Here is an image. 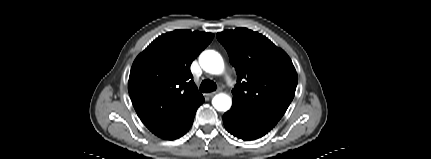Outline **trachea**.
Returning a JSON list of instances; mask_svg holds the SVG:
<instances>
[{
    "label": "trachea",
    "mask_w": 431,
    "mask_h": 159,
    "mask_svg": "<svg viewBox=\"0 0 431 159\" xmlns=\"http://www.w3.org/2000/svg\"><path fill=\"white\" fill-rule=\"evenodd\" d=\"M216 88V83L209 79L203 80L200 85V91L203 93L215 91Z\"/></svg>",
    "instance_id": "1"
}]
</instances>
